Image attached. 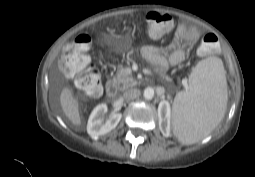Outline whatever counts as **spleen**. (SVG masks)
<instances>
[{
	"label": "spleen",
	"instance_id": "3e777b00",
	"mask_svg": "<svg viewBox=\"0 0 255 177\" xmlns=\"http://www.w3.org/2000/svg\"><path fill=\"white\" fill-rule=\"evenodd\" d=\"M227 81L221 59L209 57L193 68L189 89L177 93L172 113L173 133L186 145L209 135L224 117Z\"/></svg>",
	"mask_w": 255,
	"mask_h": 177
}]
</instances>
